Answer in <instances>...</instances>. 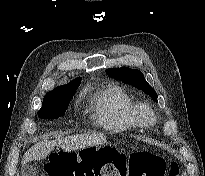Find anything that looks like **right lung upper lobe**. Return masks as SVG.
I'll list each match as a JSON object with an SVG mask.
<instances>
[{"label": "right lung upper lobe", "instance_id": "right-lung-upper-lobe-1", "mask_svg": "<svg viewBox=\"0 0 205 176\" xmlns=\"http://www.w3.org/2000/svg\"><path fill=\"white\" fill-rule=\"evenodd\" d=\"M80 82H81V78L78 77V78H76L75 80H73L72 82H70L67 85L56 87L52 91L48 92L45 96L52 95V94H55V93H58V92H63V91L76 90L78 88Z\"/></svg>", "mask_w": 205, "mask_h": 176}]
</instances>
